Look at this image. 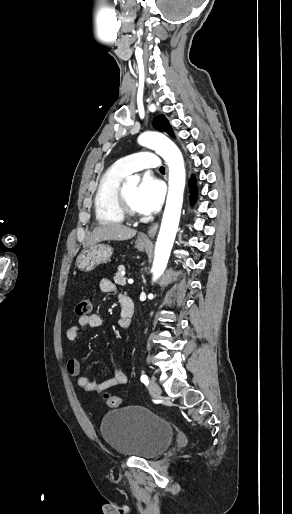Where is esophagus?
I'll list each match as a JSON object with an SVG mask.
<instances>
[{
    "label": "esophagus",
    "mask_w": 292,
    "mask_h": 514,
    "mask_svg": "<svg viewBox=\"0 0 292 514\" xmlns=\"http://www.w3.org/2000/svg\"><path fill=\"white\" fill-rule=\"evenodd\" d=\"M157 229H158V224H153L149 229H148V232L146 234H143L141 235L140 237V240L142 242H150L151 239H153V237L155 236L156 232H157Z\"/></svg>",
    "instance_id": "obj_1"
}]
</instances>
